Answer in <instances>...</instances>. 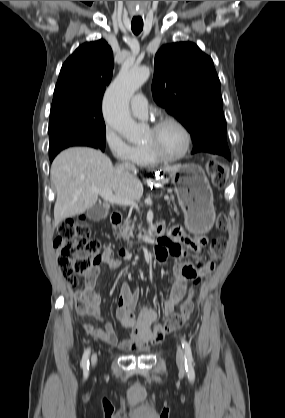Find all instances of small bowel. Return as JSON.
Returning <instances> with one entry per match:
<instances>
[{"mask_svg":"<svg viewBox=\"0 0 285 418\" xmlns=\"http://www.w3.org/2000/svg\"><path fill=\"white\" fill-rule=\"evenodd\" d=\"M156 230L157 242L167 250V256L178 259L188 256L189 252H192L191 255L196 259L201 247L207 243V238L204 236L168 234L162 227H157ZM191 243H193V247L189 245ZM165 260L160 261V263L165 264ZM102 265L116 269L121 266V261L114 256L111 248L104 249L96 265L88 274L84 288L75 290L71 296L75 311L79 316L95 317L102 323L101 326H95L89 322L85 323L84 330L91 336L122 350H138L147 347L149 344L161 343L166 333L158 332V329L162 327L160 324L154 328L152 327L157 318L156 311L144 306L136 314L135 308L138 303L139 292L132 291L127 283L121 285L115 312L122 325L132 329V334L130 338L124 340L117 338L115 325L106 320L100 310L101 296L95 289V281ZM211 266L213 264L210 262L194 265L190 259L175 264L172 275L173 288L163 305L165 316L170 315L186 295L188 290L186 281H189L191 289L197 287L205 274L210 271Z\"/></svg>","mask_w":285,"mask_h":418,"instance_id":"1","label":"small bowel"}]
</instances>
